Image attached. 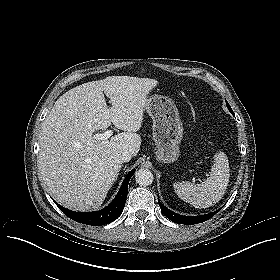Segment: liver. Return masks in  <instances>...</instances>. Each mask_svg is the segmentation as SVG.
<instances>
[{"instance_id": "6515ba94", "label": "liver", "mask_w": 280, "mask_h": 280, "mask_svg": "<svg viewBox=\"0 0 280 280\" xmlns=\"http://www.w3.org/2000/svg\"><path fill=\"white\" fill-rule=\"evenodd\" d=\"M157 84L155 79L109 76L76 86L57 99L42 124L38 167L58 203L76 211L101 206L121 170L122 152L136 156L140 150L137 132L147 95ZM111 123L124 132L94 139L95 131Z\"/></svg>"}]
</instances>
